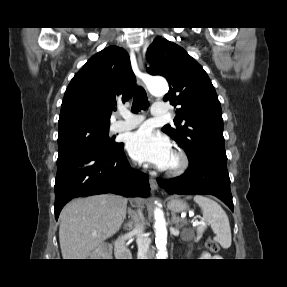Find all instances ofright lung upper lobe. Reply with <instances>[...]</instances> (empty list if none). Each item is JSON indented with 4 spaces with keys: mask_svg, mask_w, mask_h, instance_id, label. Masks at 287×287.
Instances as JSON below:
<instances>
[{
    "mask_svg": "<svg viewBox=\"0 0 287 287\" xmlns=\"http://www.w3.org/2000/svg\"><path fill=\"white\" fill-rule=\"evenodd\" d=\"M135 75L128 53L110 46L92 56L68 85L58 126L88 122L110 125V116L117 102L132 97Z\"/></svg>",
    "mask_w": 287,
    "mask_h": 287,
    "instance_id": "obj_1",
    "label": "right lung upper lobe"
}]
</instances>
